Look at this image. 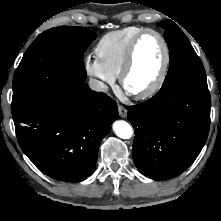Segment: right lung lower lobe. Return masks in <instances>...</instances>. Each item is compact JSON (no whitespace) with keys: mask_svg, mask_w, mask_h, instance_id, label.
Wrapping results in <instances>:
<instances>
[{"mask_svg":"<svg viewBox=\"0 0 221 221\" xmlns=\"http://www.w3.org/2000/svg\"><path fill=\"white\" fill-rule=\"evenodd\" d=\"M84 81L13 115L23 152L59 181L80 182L93 174L99 144L119 117L116 103Z\"/></svg>","mask_w":221,"mask_h":221,"instance_id":"98d812e1","label":"right lung lower lobe"}]
</instances>
